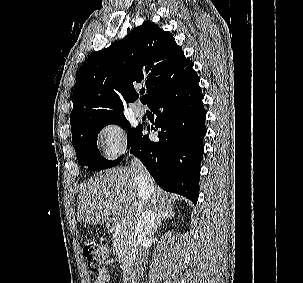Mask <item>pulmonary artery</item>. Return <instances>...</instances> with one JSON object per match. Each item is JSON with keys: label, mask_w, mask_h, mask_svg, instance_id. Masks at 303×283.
<instances>
[{"label": "pulmonary artery", "mask_w": 303, "mask_h": 283, "mask_svg": "<svg viewBox=\"0 0 303 283\" xmlns=\"http://www.w3.org/2000/svg\"><path fill=\"white\" fill-rule=\"evenodd\" d=\"M133 111L137 117H142L145 114V108L139 103L134 105Z\"/></svg>", "instance_id": "obj_1"}]
</instances>
